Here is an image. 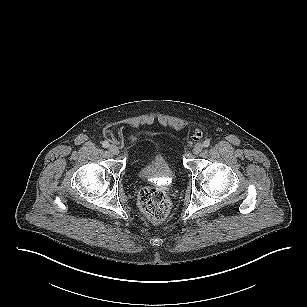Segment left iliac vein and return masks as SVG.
<instances>
[{
  "label": "left iliac vein",
  "instance_id": "1",
  "mask_svg": "<svg viewBox=\"0 0 307 307\" xmlns=\"http://www.w3.org/2000/svg\"><path fill=\"white\" fill-rule=\"evenodd\" d=\"M203 150V145L201 143H197L194 147H193V154L198 155L201 151Z\"/></svg>",
  "mask_w": 307,
  "mask_h": 307
}]
</instances>
